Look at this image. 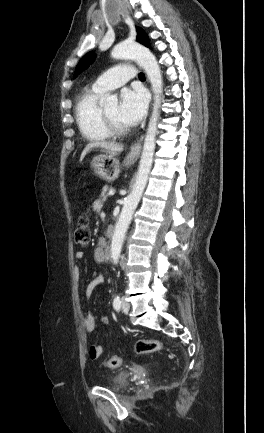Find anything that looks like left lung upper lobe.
<instances>
[{
  "label": "left lung upper lobe",
  "instance_id": "left-lung-upper-lobe-1",
  "mask_svg": "<svg viewBox=\"0 0 264 433\" xmlns=\"http://www.w3.org/2000/svg\"><path fill=\"white\" fill-rule=\"evenodd\" d=\"M137 29V37L136 40L142 44H144L145 46H149V38L146 35V33L144 32V30H142L141 28L136 27ZM95 58V53H88L87 55H85L80 62L78 63L75 73H74V78L77 77L78 74H80L83 70H85L86 68L89 67V65L94 61Z\"/></svg>",
  "mask_w": 264,
  "mask_h": 433
}]
</instances>
